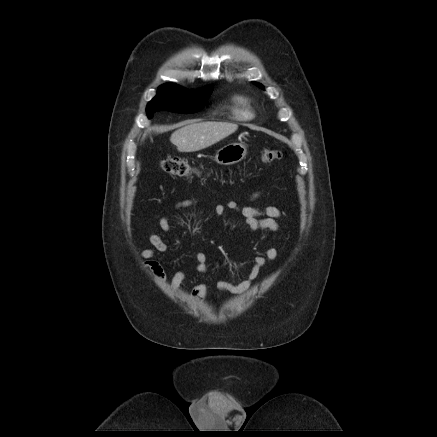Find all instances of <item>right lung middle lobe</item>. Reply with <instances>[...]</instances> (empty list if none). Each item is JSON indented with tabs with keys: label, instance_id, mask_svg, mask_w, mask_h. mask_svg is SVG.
<instances>
[{
	"label": "right lung middle lobe",
	"instance_id": "right-lung-middle-lobe-1",
	"mask_svg": "<svg viewBox=\"0 0 437 437\" xmlns=\"http://www.w3.org/2000/svg\"><path fill=\"white\" fill-rule=\"evenodd\" d=\"M212 91V87H206L190 93L177 85L167 83L159 87L157 96L148 103L146 112L149 118H152L154 112L162 110L197 112L204 106Z\"/></svg>",
	"mask_w": 437,
	"mask_h": 437
}]
</instances>
